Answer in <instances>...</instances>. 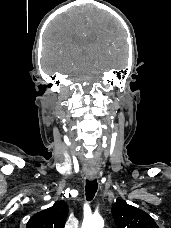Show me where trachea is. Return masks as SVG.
I'll return each mask as SVG.
<instances>
[{"mask_svg":"<svg viewBox=\"0 0 171 228\" xmlns=\"http://www.w3.org/2000/svg\"><path fill=\"white\" fill-rule=\"evenodd\" d=\"M97 188H98V184H97V180H93V181H86V186H85V190H86V199L87 201H91L96 192H97Z\"/></svg>","mask_w":171,"mask_h":228,"instance_id":"1","label":"trachea"}]
</instances>
